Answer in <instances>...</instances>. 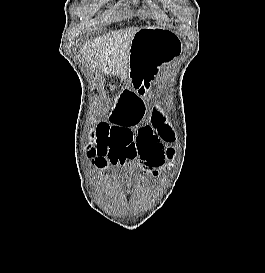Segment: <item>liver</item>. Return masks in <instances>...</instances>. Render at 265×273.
<instances>
[{
	"label": "liver",
	"instance_id": "6515ba94",
	"mask_svg": "<svg viewBox=\"0 0 265 273\" xmlns=\"http://www.w3.org/2000/svg\"><path fill=\"white\" fill-rule=\"evenodd\" d=\"M137 30L132 27L98 37L85 43L82 52L102 72L120 76L123 80L128 76L130 46Z\"/></svg>",
	"mask_w": 265,
	"mask_h": 273
}]
</instances>
